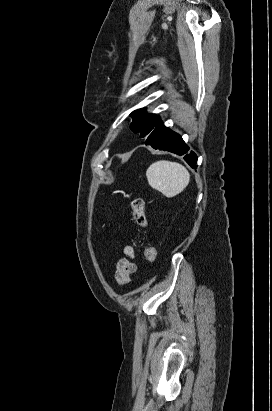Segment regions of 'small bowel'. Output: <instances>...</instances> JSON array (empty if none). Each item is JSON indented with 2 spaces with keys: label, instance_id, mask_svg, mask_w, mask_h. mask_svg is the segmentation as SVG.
<instances>
[{
  "label": "small bowel",
  "instance_id": "1",
  "mask_svg": "<svg viewBox=\"0 0 272 411\" xmlns=\"http://www.w3.org/2000/svg\"><path fill=\"white\" fill-rule=\"evenodd\" d=\"M123 254L124 255L118 259L115 268V280L121 286L129 284L131 276L137 271L133 247L125 245L123 247Z\"/></svg>",
  "mask_w": 272,
  "mask_h": 411
}]
</instances>
